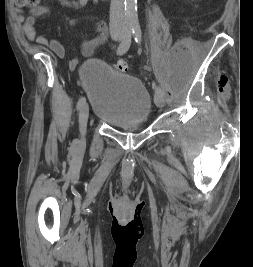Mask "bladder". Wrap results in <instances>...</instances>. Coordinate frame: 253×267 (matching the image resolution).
Wrapping results in <instances>:
<instances>
[{"mask_svg": "<svg viewBox=\"0 0 253 267\" xmlns=\"http://www.w3.org/2000/svg\"><path fill=\"white\" fill-rule=\"evenodd\" d=\"M84 72V87L97 119L111 125L143 123L148 119L152 100L139 79L99 60L89 61Z\"/></svg>", "mask_w": 253, "mask_h": 267, "instance_id": "bladder-1", "label": "bladder"}]
</instances>
